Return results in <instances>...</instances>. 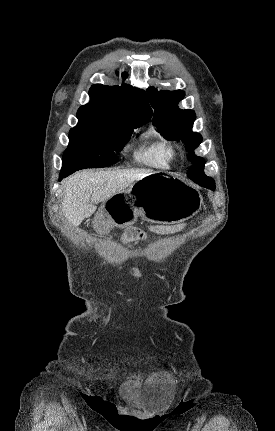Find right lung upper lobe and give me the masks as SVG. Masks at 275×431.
<instances>
[{"label": "right lung upper lobe", "instance_id": "cb5924a9", "mask_svg": "<svg viewBox=\"0 0 275 431\" xmlns=\"http://www.w3.org/2000/svg\"><path fill=\"white\" fill-rule=\"evenodd\" d=\"M122 76L125 79L127 73ZM89 96L90 103L78 109L79 120L112 119L130 126H142L152 117L146 93L131 85L95 84L90 88Z\"/></svg>", "mask_w": 275, "mask_h": 431}]
</instances>
